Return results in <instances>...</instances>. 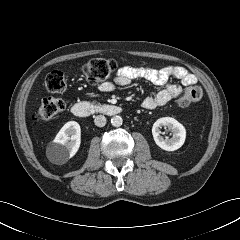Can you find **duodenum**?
<instances>
[{
    "mask_svg": "<svg viewBox=\"0 0 240 240\" xmlns=\"http://www.w3.org/2000/svg\"><path fill=\"white\" fill-rule=\"evenodd\" d=\"M122 112V108L112 104H99L88 101L78 102L72 105L71 113L79 118L89 117L95 114L114 116Z\"/></svg>",
    "mask_w": 240,
    "mask_h": 240,
    "instance_id": "410a0bca",
    "label": "duodenum"
}]
</instances>
